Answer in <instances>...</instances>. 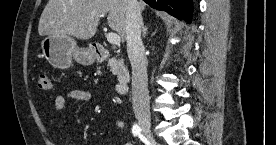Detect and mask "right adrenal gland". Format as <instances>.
I'll use <instances>...</instances> for the list:
<instances>
[{"mask_svg": "<svg viewBox=\"0 0 276 145\" xmlns=\"http://www.w3.org/2000/svg\"><path fill=\"white\" fill-rule=\"evenodd\" d=\"M147 31H148V28H147V27L144 25V23H143V24H142L143 37H146Z\"/></svg>", "mask_w": 276, "mask_h": 145, "instance_id": "right-adrenal-gland-1", "label": "right adrenal gland"}]
</instances>
